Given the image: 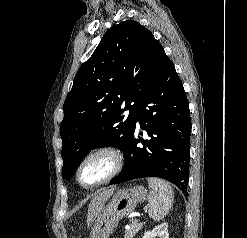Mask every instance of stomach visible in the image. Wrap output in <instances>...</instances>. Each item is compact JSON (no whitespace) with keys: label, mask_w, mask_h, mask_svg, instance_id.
Here are the masks:
<instances>
[{"label":"stomach","mask_w":247,"mask_h":238,"mask_svg":"<svg viewBox=\"0 0 247 238\" xmlns=\"http://www.w3.org/2000/svg\"><path fill=\"white\" fill-rule=\"evenodd\" d=\"M148 192L143 186L120 189L96 218L91 238H109L118 222L132 213L138 203L147 199Z\"/></svg>","instance_id":"0dacf381"}]
</instances>
